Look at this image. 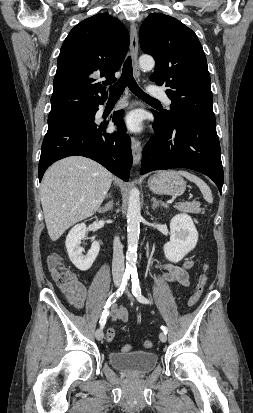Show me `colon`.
I'll list each match as a JSON object with an SVG mask.
<instances>
[{"label":"colon","instance_id":"1","mask_svg":"<svg viewBox=\"0 0 253 413\" xmlns=\"http://www.w3.org/2000/svg\"><path fill=\"white\" fill-rule=\"evenodd\" d=\"M47 264L52 278L59 286L68 285L75 279L73 272L63 263L62 259L58 255L53 254L49 256ZM207 271L208 265H204L202 273L199 276L195 291L188 301L189 307L194 306L199 301L207 283ZM114 338L115 329L111 327L107 330L106 339L108 341H112ZM143 345L145 348L150 349L152 347V342L150 340H146L144 341ZM130 349L131 346L128 344L124 345L122 348L124 352H128Z\"/></svg>","mask_w":253,"mask_h":413}]
</instances>
